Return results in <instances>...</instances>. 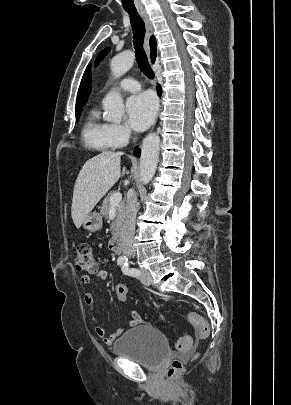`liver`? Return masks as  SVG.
<instances>
[{
    "label": "liver",
    "instance_id": "6515ba94",
    "mask_svg": "<svg viewBox=\"0 0 291 405\" xmlns=\"http://www.w3.org/2000/svg\"><path fill=\"white\" fill-rule=\"evenodd\" d=\"M120 162V152L103 151L83 165L74 185L71 207L76 228H80L96 204L125 174V168L121 174Z\"/></svg>",
    "mask_w": 291,
    "mask_h": 405
}]
</instances>
